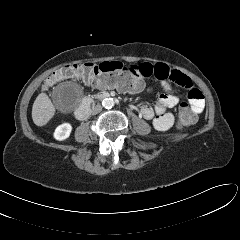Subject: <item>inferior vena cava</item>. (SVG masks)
Segmentation results:
<instances>
[{
	"label": "inferior vena cava",
	"mask_w": 240,
	"mask_h": 240,
	"mask_svg": "<svg viewBox=\"0 0 240 240\" xmlns=\"http://www.w3.org/2000/svg\"><path fill=\"white\" fill-rule=\"evenodd\" d=\"M101 110H102V106L101 105H96V106L92 107L91 113L92 114H98L99 112H101Z\"/></svg>",
	"instance_id": "602c4592"
}]
</instances>
